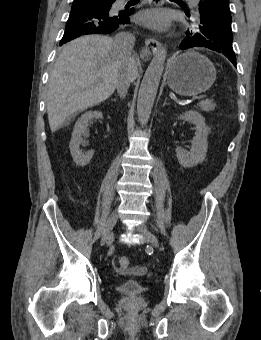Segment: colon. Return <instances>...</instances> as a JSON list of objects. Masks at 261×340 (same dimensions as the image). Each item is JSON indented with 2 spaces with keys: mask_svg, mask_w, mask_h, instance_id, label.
I'll return each instance as SVG.
<instances>
[{
  "mask_svg": "<svg viewBox=\"0 0 261 340\" xmlns=\"http://www.w3.org/2000/svg\"><path fill=\"white\" fill-rule=\"evenodd\" d=\"M130 266V261L127 257L122 256L116 259L113 263V267L118 272L126 271Z\"/></svg>",
  "mask_w": 261,
  "mask_h": 340,
  "instance_id": "obj_1",
  "label": "colon"
}]
</instances>
